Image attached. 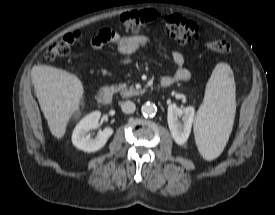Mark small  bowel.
<instances>
[{"instance_id": "obj_1", "label": "small bowel", "mask_w": 275, "mask_h": 215, "mask_svg": "<svg viewBox=\"0 0 275 215\" xmlns=\"http://www.w3.org/2000/svg\"><path fill=\"white\" fill-rule=\"evenodd\" d=\"M111 44L120 60L124 63L131 61V56L134 52L150 43V38L144 34H136L132 36H120L116 31L111 28H103L91 40V47L98 49L104 44ZM172 60L177 66L173 75H166L161 79V82H168L170 85L175 81H187L190 79V71L184 67V57L179 51L172 53Z\"/></svg>"}]
</instances>
